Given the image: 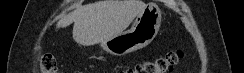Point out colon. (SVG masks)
<instances>
[{
    "mask_svg": "<svg viewBox=\"0 0 244 73\" xmlns=\"http://www.w3.org/2000/svg\"><path fill=\"white\" fill-rule=\"evenodd\" d=\"M181 57L180 51H169L162 56L128 67L121 73H167L179 62ZM39 64L44 73H55L57 63L51 54H42Z\"/></svg>",
    "mask_w": 244,
    "mask_h": 73,
    "instance_id": "colon-1",
    "label": "colon"
}]
</instances>
